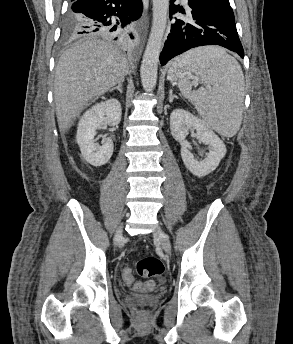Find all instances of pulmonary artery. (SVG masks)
<instances>
[{
	"mask_svg": "<svg viewBox=\"0 0 293 344\" xmlns=\"http://www.w3.org/2000/svg\"><path fill=\"white\" fill-rule=\"evenodd\" d=\"M182 2H183L184 4H187V3H188V0H182Z\"/></svg>",
	"mask_w": 293,
	"mask_h": 344,
	"instance_id": "obj_1",
	"label": "pulmonary artery"
}]
</instances>
